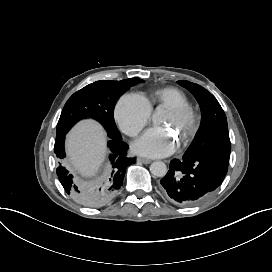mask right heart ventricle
<instances>
[{"label":"right heart ventricle","instance_id":"e07e8e85","mask_svg":"<svg viewBox=\"0 0 272 272\" xmlns=\"http://www.w3.org/2000/svg\"><path fill=\"white\" fill-rule=\"evenodd\" d=\"M152 100L161 105H165L168 108L171 105H186V97L177 89L165 88L154 93Z\"/></svg>","mask_w":272,"mask_h":272}]
</instances>
